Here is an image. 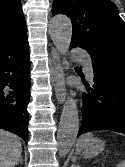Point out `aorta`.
<instances>
[{
	"label": "aorta",
	"mask_w": 125,
	"mask_h": 167,
	"mask_svg": "<svg viewBox=\"0 0 125 167\" xmlns=\"http://www.w3.org/2000/svg\"><path fill=\"white\" fill-rule=\"evenodd\" d=\"M49 35L61 53L65 54L70 46L72 37V24L68 17L57 15L50 20ZM79 130V114L76 100L68 97L62 110L57 140L58 152L61 157L66 156L76 140Z\"/></svg>",
	"instance_id": "1"
}]
</instances>
